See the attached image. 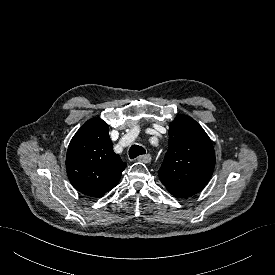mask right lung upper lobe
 Instances as JSON below:
<instances>
[{
  "mask_svg": "<svg viewBox=\"0 0 275 275\" xmlns=\"http://www.w3.org/2000/svg\"><path fill=\"white\" fill-rule=\"evenodd\" d=\"M108 125L100 118L84 123L73 136L66 169L73 187L88 196L101 197L117 185L126 167L113 152Z\"/></svg>",
  "mask_w": 275,
  "mask_h": 275,
  "instance_id": "1",
  "label": "right lung upper lobe"
}]
</instances>
